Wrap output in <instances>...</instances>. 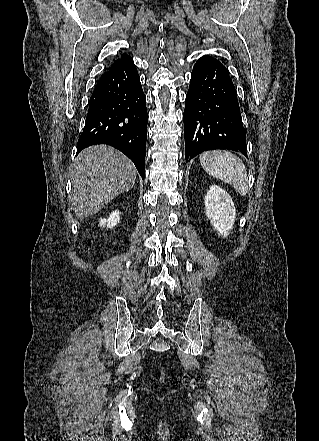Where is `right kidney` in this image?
Returning <instances> with one entry per match:
<instances>
[{"instance_id":"ca27d5eb","label":"right kidney","mask_w":319,"mask_h":441,"mask_svg":"<svg viewBox=\"0 0 319 441\" xmlns=\"http://www.w3.org/2000/svg\"><path fill=\"white\" fill-rule=\"evenodd\" d=\"M120 221V216H119V212L118 211H113L108 219H100L99 224L100 227H105L107 226V228H113L115 227Z\"/></svg>"}]
</instances>
